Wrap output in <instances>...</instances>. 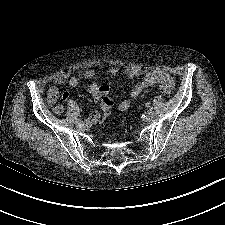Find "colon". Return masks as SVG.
Masks as SVG:
<instances>
[{
  "label": "colon",
  "instance_id": "obj_1",
  "mask_svg": "<svg viewBox=\"0 0 225 225\" xmlns=\"http://www.w3.org/2000/svg\"><path fill=\"white\" fill-rule=\"evenodd\" d=\"M160 91L163 94H169L170 93V87L168 85H161L160 86ZM112 102L109 98H105L102 101V111H103V116L102 118H99L96 121V124L101 126L104 122V120L109 116L110 110H111Z\"/></svg>",
  "mask_w": 225,
  "mask_h": 225
}]
</instances>
